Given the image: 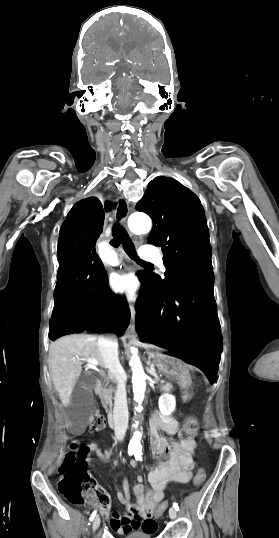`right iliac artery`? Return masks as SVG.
<instances>
[{"instance_id":"1","label":"right iliac artery","mask_w":279,"mask_h":538,"mask_svg":"<svg viewBox=\"0 0 279 538\" xmlns=\"http://www.w3.org/2000/svg\"><path fill=\"white\" fill-rule=\"evenodd\" d=\"M134 453H135V452H134L133 450H129V451H128V455H129V456L133 455ZM96 513H97L96 510L93 511V513H92L91 516H90V521H92V520L95 518Z\"/></svg>"}]
</instances>
